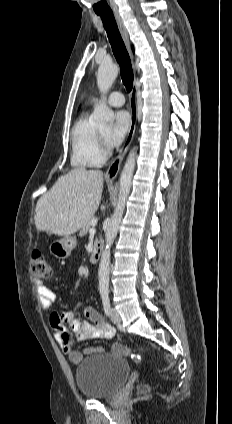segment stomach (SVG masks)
<instances>
[{
  "label": "stomach",
  "instance_id": "obj_1",
  "mask_svg": "<svg viewBox=\"0 0 232 424\" xmlns=\"http://www.w3.org/2000/svg\"><path fill=\"white\" fill-rule=\"evenodd\" d=\"M77 241L74 236H64L50 244L49 251L57 258H67L76 247Z\"/></svg>",
  "mask_w": 232,
  "mask_h": 424
}]
</instances>
